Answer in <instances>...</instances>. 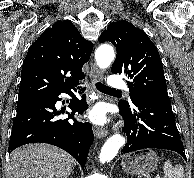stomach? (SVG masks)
Listing matches in <instances>:
<instances>
[{
	"label": "stomach",
	"mask_w": 194,
	"mask_h": 178,
	"mask_svg": "<svg viewBox=\"0 0 194 178\" xmlns=\"http://www.w3.org/2000/svg\"><path fill=\"white\" fill-rule=\"evenodd\" d=\"M158 161L155 151L145 149L123 156L121 165L126 173L147 175L157 168Z\"/></svg>",
	"instance_id": "stomach-1"
}]
</instances>
